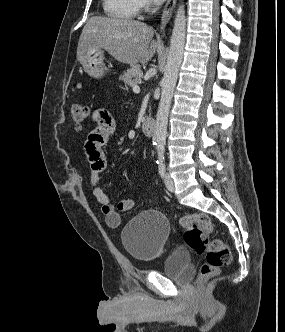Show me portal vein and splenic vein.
Wrapping results in <instances>:
<instances>
[{"mask_svg": "<svg viewBox=\"0 0 285 332\" xmlns=\"http://www.w3.org/2000/svg\"><path fill=\"white\" fill-rule=\"evenodd\" d=\"M133 92L134 93H139L140 92V87L138 85L133 86Z\"/></svg>", "mask_w": 285, "mask_h": 332, "instance_id": "portal-vein-and-splenic-vein-1", "label": "portal vein and splenic vein"}]
</instances>
